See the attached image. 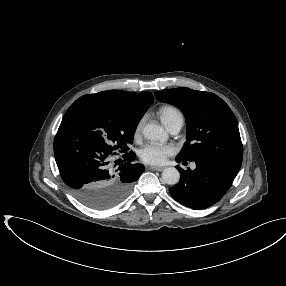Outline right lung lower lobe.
Returning a JSON list of instances; mask_svg holds the SVG:
<instances>
[{"mask_svg": "<svg viewBox=\"0 0 286 286\" xmlns=\"http://www.w3.org/2000/svg\"><path fill=\"white\" fill-rule=\"evenodd\" d=\"M54 154L65 184L76 199L94 209H108L122 202L144 172L143 165L132 163L133 152L124 154L126 162L113 169L112 155L62 122L54 139Z\"/></svg>", "mask_w": 286, "mask_h": 286, "instance_id": "right-lung-lower-lobe-1", "label": "right lung lower lobe"}]
</instances>
